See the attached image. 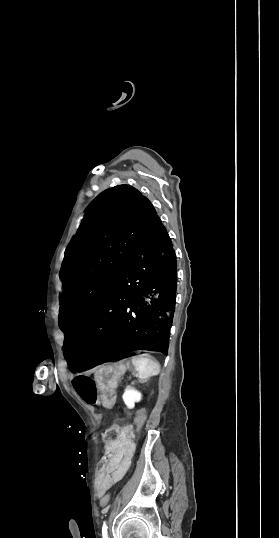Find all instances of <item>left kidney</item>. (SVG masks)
I'll list each match as a JSON object with an SVG mask.
<instances>
[{
    "label": "left kidney",
    "mask_w": 279,
    "mask_h": 538,
    "mask_svg": "<svg viewBox=\"0 0 279 538\" xmlns=\"http://www.w3.org/2000/svg\"><path fill=\"white\" fill-rule=\"evenodd\" d=\"M122 398L127 408H129V410H132V408H134L135 406V402H140L142 394H140V392H137V390H134V388H130V386H127Z\"/></svg>",
    "instance_id": "left-kidney-1"
}]
</instances>
